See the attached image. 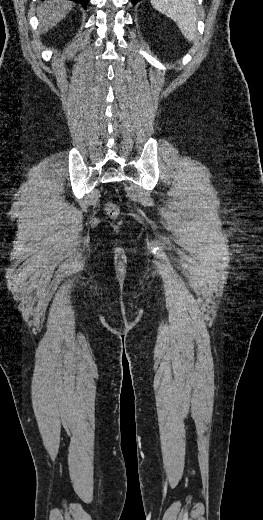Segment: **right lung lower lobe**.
<instances>
[{
  "instance_id": "right-lung-lower-lobe-1",
  "label": "right lung lower lobe",
  "mask_w": 263,
  "mask_h": 520,
  "mask_svg": "<svg viewBox=\"0 0 263 520\" xmlns=\"http://www.w3.org/2000/svg\"><path fill=\"white\" fill-rule=\"evenodd\" d=\"M72 1L82 4L85 9L87 7L88 0H72Z\"/></svg>"
}]
</instances>
